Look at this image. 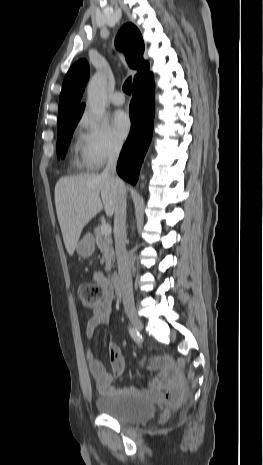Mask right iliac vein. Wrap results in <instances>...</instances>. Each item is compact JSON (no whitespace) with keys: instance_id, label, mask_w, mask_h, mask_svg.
<instances>
[{"instance_id":"right-iliac-vein-1","label":"right iliac vein","mask_w":263,"mask_h":465,"mask_svg":"<svg viewBox=\"0 0 263 465\" xmlns=\"http://www.w3.org/2000/svg\"><path fill=\"white\" fill-rule=\"evenodd\" d=\"M127 316L129 318V321L131 325L137 330V331H142L143 329V323L137 313L134 310H128L127 311Z\"/></svg>"}]
</instances>
